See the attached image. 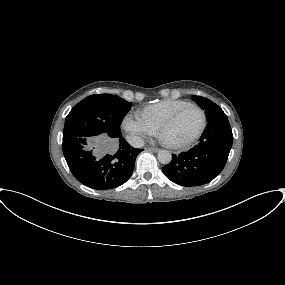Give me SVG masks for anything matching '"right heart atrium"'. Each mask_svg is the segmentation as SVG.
<instances>
[{
	"label": "right heart atrium",
	"mask_w": 285,
	"mask_h": 285,
	"mask_svg": "<svg viewBox=\"0 0 285 285\" xmlns=\"http://www.w3.org/2000/svg\"><path fill=\"white\" fill-rule=\"evenodd\" d=\"M123 127L132 143L140 145L147 136H152L155 130L139 116L127 115L123 120Z\"/></svg>",
	"instance_id": "obj_1"
}]
</instances>
